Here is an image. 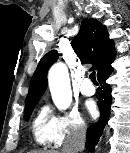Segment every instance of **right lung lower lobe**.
Here are the masks:
<instances>
[{
  "label": "right lung lower lobe",
  "instance_id": "obj_1",
  "mask_svg": "<svg viewBox=\"0 0 130 153\" xmlns=\"http://www.w3.org/2000/svg\"><path fill=\"white\" fill-rule=\"evenodd\" d=\"M113 68L110 65L105 71L97 76L101 87L98 89L96 96L98 98V106L101 112L99 120L92 124L87 131L86 148L93 151L100 136L102 135L105 124L110 115V105L112 101L111 86L106 83V80L112 73Z\"/></svg>",
  "mask_w": 130,
  "mask_h": 153
}]
</instances>
